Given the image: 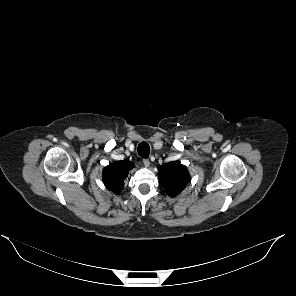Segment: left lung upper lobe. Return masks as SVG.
Wrapping results in <instances>:
<instances>
[{
    "instance_id": "1",
    "label": "left lung upper lobe",
    "mask_w": 296,
    "mask_h": 296,
    "mask_svg": "<svg viewBox=\"0 0 296 296\" xmlns=\"http://www.w3.org/2000/svg\"><path fill=\"white\" fill-rule=\"evenodd\" d=\"M158 170L160 183L172 197L178 195L190 180L187 168L176 162L163 164Z\"/></svg>"
}]
</instances>
